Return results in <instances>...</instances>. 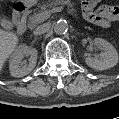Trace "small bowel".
Wrapping results in <instances>:
<instances>
[{"label":"small bowel","mask_w":119,"mask_h":119,"mask_svg":"<svg viewBox=\"0 0 119 119\" xmlns=\"http://www.w3.org/2000/svg\"><path fill=\"white\" fill-rule=\"evenodd\" d=\"M84 18L100 27H108L119 18V7L99 5L95 0H85L81 3Z\"/></svg>","instance_id":"small-bowel-1"}]
</instances>
